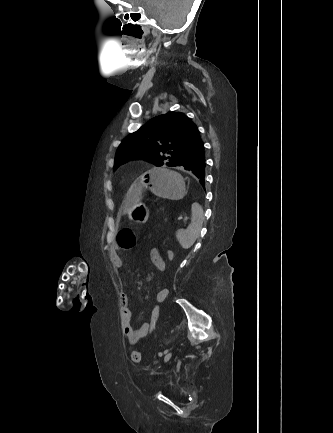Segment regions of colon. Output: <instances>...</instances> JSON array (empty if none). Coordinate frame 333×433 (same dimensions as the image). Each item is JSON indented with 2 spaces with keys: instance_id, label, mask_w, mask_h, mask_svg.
Here are the masks:
<instances>
[{
  "instance_id": "5ec220e1",
  "label": "colon",
  "mask_w": 333,
  "mask_h": 433,
  "mask_svg": "<svg viewBox=\"0 0 333 433\" xmlns=\"http://www.w3.org/2000/svg\"><path fill=\"white\" fill-rule=\"evenodd\" d=\"M117 242L118 246L122 249H131L136 245V237L133 233V231L129 228L122 229L117 236ZM175 256L174 251L169 250L166 253V262L172 263L173 258ZM161 302H156L153 309L150 311V316L148 318L149 324H150V330H156L157 324L159 322V314H160V307ZM131 359L134 363H140L142 359V354L140 351L136 350L133 351L131 354Z\"/></svg>"
}]
</instances>
